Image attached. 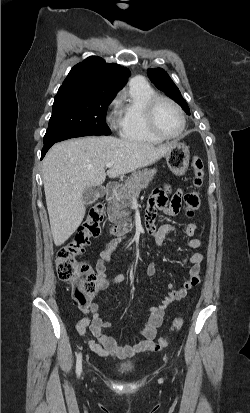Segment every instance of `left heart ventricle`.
<instances>
[{"instance_id": "1", "label": "left heart ventricle", "mask_w": 250, "mask_h": 413, "mask_svg": "<svg viewBox=\"0 0 250 413\" xmlns=\"http://www.w3.org/2000/svg\"><path fill=\"white\" fill-rule=\"evenodd\" d=\"M156 125L160 132L175 135L181 128V118L177 110L167 102L159 103L156 115Z\"/></svg>"}]
</instances>
